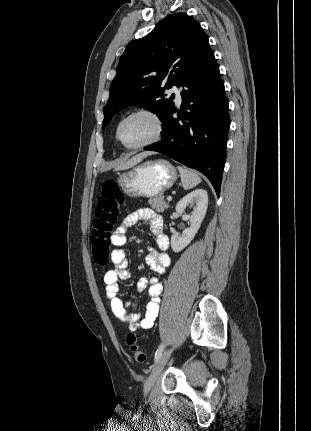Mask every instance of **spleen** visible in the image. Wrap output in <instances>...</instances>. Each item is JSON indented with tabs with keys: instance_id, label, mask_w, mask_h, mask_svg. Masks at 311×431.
<instances>
[{
	"instance_id": "spleen-1",
	"label": "spleen",
	"mask_w": 311,
	"mask_h": 431,
	"mask_svg": "<svg viewBox=\"0 0 311 431\" xmlns=\"http://www.w3.org/2000/svg\"><path fill=\"white\" fill-rule=\"evenodd\" d=\"M177 170H179L184 190H191V188H195V186H198V184L202 182L198 174H196V172H192V170H188V168L177 166Z\"/></svg>"
}]
</instances>
